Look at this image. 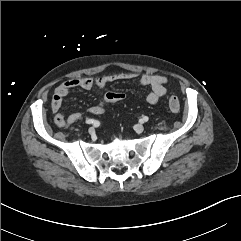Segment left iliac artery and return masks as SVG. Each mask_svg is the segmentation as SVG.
I'll return each mask as SVG.
<instances>
[{
	"label": "left iliac artery",
	"mask_w": 241,
	"mask_h": 241,
	"mask_svg": "<svg viewBox=\"0 0 241 241\" xmlns=\"http://www.w3.org/2000/svg\"><path fill=\"white\" fill-rule=\"evenodd\" d=\"M149 120V118L147 117V116H144L143 118H142V122L144 123V122H147Z\"/></svg>",
	"instance_id": "left-iliac-artery-1"
}]
</instances>
